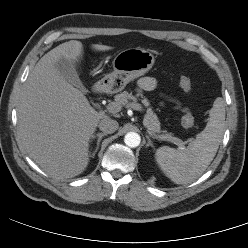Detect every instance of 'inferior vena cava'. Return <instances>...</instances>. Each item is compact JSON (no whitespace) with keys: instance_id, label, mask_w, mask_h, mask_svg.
Listing matches in <instances>:
<instances>
[{"instance_id":"602c4592","label":"inferior vena cava","mask_w":248,"mask_h":248,"mask_svg":"<svg viewBox=\"0 0 248 248\" xmlns=\"http://www.w3.org/2000/svg\"><path fill=\"white\" fill-rule=\"evenodd\" d=\"M98 127L102 132L106 134H111V133H114L118 129L119 124L117 121L106 117L99 122Z\"/></svg>"}]
</instances>
